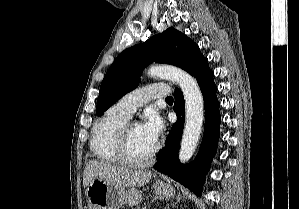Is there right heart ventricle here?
<instances>
[{"mask_svg": "<svg viewBox=\"0 0 299 209\" xmlns=\"http://www.w3.org/2000/svg\"><path fill=\"white\" fill-rule=\"evenodd\" d=\"M128 119V116L113 106L95 122L90 147L99 160L121 163L117 152L118 133Z\"/></svg>", "mask_w": 299, "mask_h": 209, "instance_id": "1", "label": "right heart ventricle"}]
</instances>
